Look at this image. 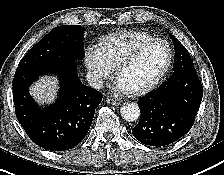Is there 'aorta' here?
<instances>
[{
    "mask_svg": "<svg viewBox=\"0 0 224 175\" xmlns=\"http://www.w3.org/2000/svg\"><path fill=\"white\" fill-rule=\"evenodd\" d=\"M120 113L127 121H136L140 116V109L135 103H124L121 106Z\"/></svg>",
    "mask_w": 224,
    "mask_h": 175,
    "instance_id": "762f6f07",
    "label": "aorta"
}]
</instances>
